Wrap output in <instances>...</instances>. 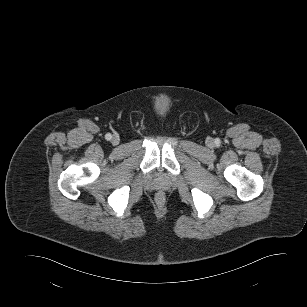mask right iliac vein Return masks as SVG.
I'll list each match as a JSON object with an SVG mask.
<instances>
[{
  "label": "right iliac vein",
  "mask_w": 307,
  "mask_h": 307,
  "mask_svg": "<svg viewBox=\"0 0 307 307\" xmlns=\"http://www.w3.org/2000/svg\"><path fill=\"white\" fill-rule=\"evenodd\" d=\"M112 143L115 144V145L118 144V143H119V138L116 137V136L113 137V138H112Z\"/></svg>",
  "instance_id": "obj_1"
}]
</instances>
